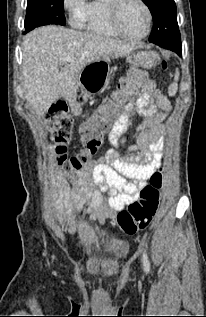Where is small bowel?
<instances>
[{
	"label": "small bowel",
	"instance_id": "1",
	"mask_svg": "<svg viewBox=\"0 0 206 317\" xmlns=\"http://www.w3.org/2000/svg\"><path fill=\"white\" fill-rule=\"evenodd\" d=\"M170 111L167 97L153 80H147L136 101L127 107L110 131L109 140L114 149L72 176L75 190L70 198L73 205L59 221L66 231L75 230V212L83 211L102 224L115 211L138 199L146 181L162 164V135ZM133 113L143 117V121L136 128L132 141L126 131ZM118 149L133 152V155L122 157Z\"/></svg>",
	"mask_w": 206,
	"mask_h": 317
}]
</instances>
